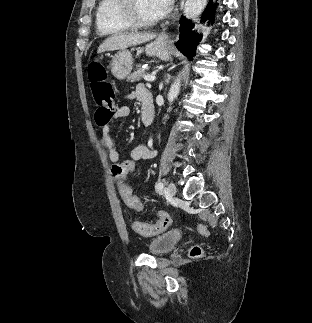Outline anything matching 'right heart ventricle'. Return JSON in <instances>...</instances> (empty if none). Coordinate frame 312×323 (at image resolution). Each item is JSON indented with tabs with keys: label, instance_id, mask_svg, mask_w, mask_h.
Segmentation results:
<instances>
[{
	"label": "right heart ventricle",
	"instance_id": "e07e8e85",
	"mask_svg": "<svg viewBox=\"0 0 312 323\" xmlns=\"http://www.w3.org/2000/svg\"><path fill=\"white\" fill-rule=\"evenodd\" d=\"M120 10V3L116 0H97L94 25H97L99 33H117L118 29H131L129 18H125Z\"/></svg>",
	"mask_w": 312,
	"mask_h": 323
}]
</instances>
